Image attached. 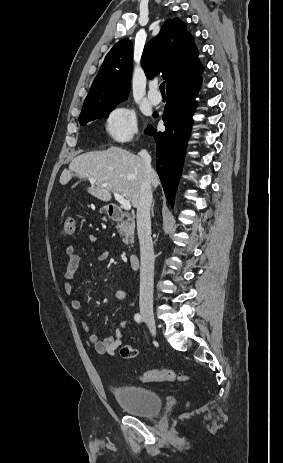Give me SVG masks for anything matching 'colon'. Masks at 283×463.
Wrapping results in <instances>:
<instances>
[{"mask_svg":"<svg viewBox=\"0 0 283 463\" xmlns=\"http://www.w3.org/2000/svg\"><path fill=\"white\" fill-rule=\"evenodd\" d=\"M75 230V219L70 215L62 217L60 226L61 234L65 237L72 236ZM140 380L144 383L180 382L189 380V377L184 374L176 373L173 370L163 369L147 371L140 376Z\"/></svg>","mask_w":283,"mask_h":463,"instance_id":"1","label":"colon"}]
</instances>
